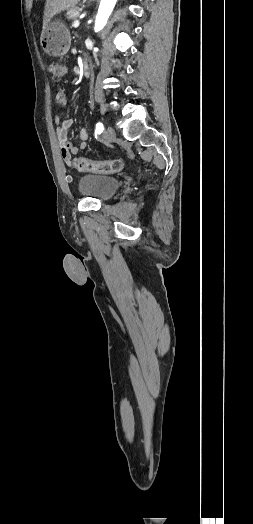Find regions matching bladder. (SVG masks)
<instances>
[{
	"label": "bladder",
	"mask_w": 253,
	"mask_h": 524,
	"mask_svg": "<svg viewBox=\"0 0 253 524\" xmlns=\"http://www.w3.org/2000/svg\"><path fill=\"white\" fill-rule=\"evenodd\" d=\"M120 186L121 182L118 178L100 174H86L78 181V191L81 195L99 201H107Z\"/></svg>",
	"instance_id": "31cf9c89"
}]
</instances>
